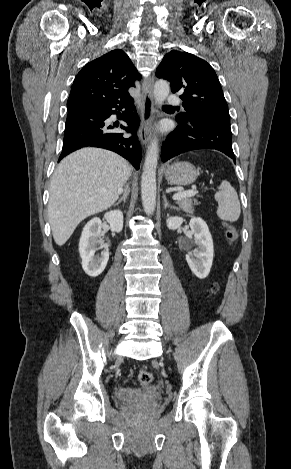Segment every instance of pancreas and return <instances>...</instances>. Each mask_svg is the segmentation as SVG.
Returning a JSON list of instances; mask_svg holds the SVG:
<instances>
[{
    "label": "pancreas",
    "mask_w": 291,
    "mask_h": 469,
    "mask_svg": "<svg viewBox=\"0 0 291 469\" xmlns=\"http://www.w3.org/2000/svg\"><path fill=\"white\" fill-rule=\"evenodd\" d=\"M177 204L186 213H193L194 205H196L197 202L196 200H192L191 198H182L177 201Z\"/></svg>",
    "instance_id": "cf45deb5"
}]
</instances>
